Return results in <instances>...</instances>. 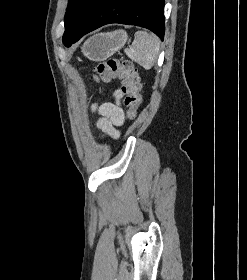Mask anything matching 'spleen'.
<instances>
[{"mask_svg": "<svg viewBox=\"0 0 247 280\" xmlns=\"http://www.w3.org/2000/svg\"><path fill=\"white\" fill-rule=\"evenodd\" d=\"M159 39L146 31H137L130 48L125 49L126 55L146 70L153 67L159 53Z\"/></svg>", "mask_w": 247, "mask_h": 280, "instance_id": "3e777b00", "label": "spleen"}]
</instances>
